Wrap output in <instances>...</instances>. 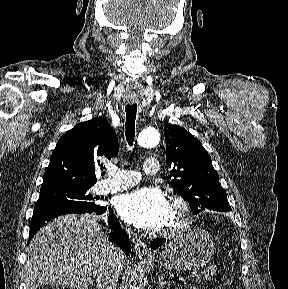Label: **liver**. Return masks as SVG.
<instances>
[{
  "label": "liver",
  "instance_id": "1",
  "mask_svg": "<svg viewBox=\"0 0 288 289\" xmlns=\"http://www.w3.org/2000/svg\"><path fill=\"white\" fill-rule=\"evenodd\" d=\"M114 245L95 215L67 214L47 223L27 249L28 289L44 284L85 289L105 266ZM123 266V257H121Z\"/></svg>",
  "mask_w": 288,
  "mask_h": 289
}]
</instances>
